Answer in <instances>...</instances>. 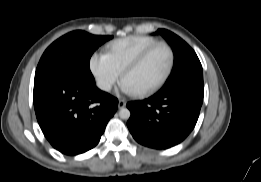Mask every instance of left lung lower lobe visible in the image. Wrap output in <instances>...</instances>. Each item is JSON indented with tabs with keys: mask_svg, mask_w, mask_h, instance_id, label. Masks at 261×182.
I'll use <instances>...</instances> for the list:
<instances>
[{
	"mask_svg": "<svg viewBox=\"0 0 261 182\" xmlns=\"http://www.w3.org/2000/svg\"><path fill=\"white\" fill-rule=\"evenodd\" d=\"M203 80H195L142 101L127 103V122L134 139L147 147L166 149L182 142L195 127L203 103Z\"/></svg>",
	"mask_w": 261,
	"mask_h": 182,
	"instance_id": "1",
	"label": "left lung lower lobe"
}]
</instances>
